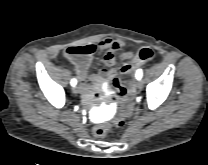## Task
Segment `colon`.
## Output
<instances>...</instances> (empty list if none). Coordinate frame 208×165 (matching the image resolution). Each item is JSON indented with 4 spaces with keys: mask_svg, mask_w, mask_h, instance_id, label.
I'll use <instances>...</instances> for the list:
<instances>
[{
    "mask_svg": "<svg viewBox=\"0 0 208 165\" xmlns=\"http://www.w3.org/2000/svg\"><path fill=\"white\" fill-rule=\"evenodd\" d=\"M88 52H89L88 48H86L83 45L71 46L66 50V54L68 56H80L87 54ZM153 57H154V53L151 49L141 48L136 55L130 56L129 62L124 66H121L119 68V72L127 77H132L136 72L140 71L141 67H143L144 65V62H148L152 60ZM120 81L122 82L123 85L122 89L120 90V94H124L126 92V88H129L131 86V81L130 80H123V81L120 80ZM125 123H126L125 117H120L114 121V124L119 127L124 126ZM109 129H110L109 124L98 125L93 129V135L97 138L104 137L108 133Z\"/></svg>",
    "mask_w": 208,
    "mask_h": 165,
    "instance_id": "colon-1",
    "label": "colon"
}]
</instances>
